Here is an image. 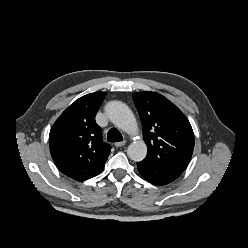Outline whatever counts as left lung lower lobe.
Here are the masks:
<instances>
[{"label": "left lung lower lobe", "mask_w": 248, "mask_h": 248, "mask_svg": "<svg viewBox=\"0 0 248 248\" xmlns=\"http://www.w3.org/2000/svg\"><path fill=\"white\" fill-rule=\"evenodd\" d=\"M139 173L149 182L155 185H166L176 180L181 171L162 167L147 160L137 163Z\"/></svg>", "instance_id": "left-lung-lower-lobe-1"}]
</instances>
